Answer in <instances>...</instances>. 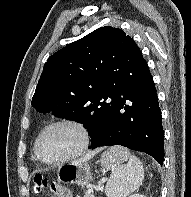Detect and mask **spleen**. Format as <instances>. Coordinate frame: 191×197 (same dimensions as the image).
Segmentation results:
<instances>
[{"mask_svg": "<svg viewBox=\"0 0 191 197\" xmlns=\"http://www.w3.org/2000/svg\"><path fill=\"white\" fill-rule=\"evenodd\" d=\"M109 153L115 160V168L107 185V196L127 197L142 185L144 179L142 162L122 146L111 147Z\"/></svg>", "mask_w": 191, "mask_h": 197, "instance_id": "spleen-1", "label": "spleen"}]
</instances>
